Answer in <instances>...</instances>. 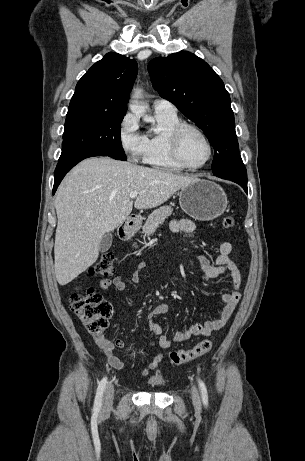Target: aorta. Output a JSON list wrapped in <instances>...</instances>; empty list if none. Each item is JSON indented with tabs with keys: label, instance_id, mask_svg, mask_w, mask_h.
Masks as SVG:
<instances>
[{
	"label": "aorta",
	"instance_id": "1",
	"mask_svg": "<svg viewBox=\"0 0 305 461\" xmlns=\"http://www.w3.org/2000/svg\"><path fill=\"white\" fill-rule=\"evenodd\" d=\"M140 92V90H136L134 93V98H138ZM130 110L133 113L144 117L145 121H149V117L145 115V109L136 100L132 101V103L130 104Z\"/></svg>",
	"mask_w": 305,
	"mask_h": 461
}]
</instances>
